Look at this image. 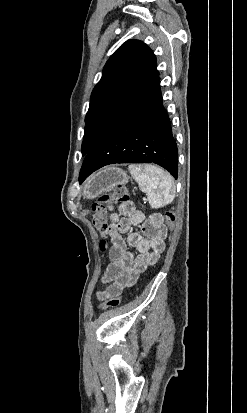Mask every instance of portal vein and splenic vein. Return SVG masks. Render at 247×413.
I'll return each mask as SVG.
<instances>
[{"instance_id":"1","label":"portal vein and splenic vein","mask_w":247,"mask_h":413,"mask_svg":"<svg viewBox=\"0 0 247 413\" xmlns=\"http://www.w3.org/2000/svg\"><path fill=\"white\" fill-rule=\"evenodd\" d=\"M142 201H143V202H146V201H147V198H146V197H143V198H142Z\"/></svg>"}]
</instances>
